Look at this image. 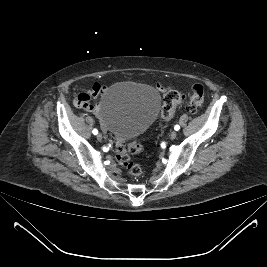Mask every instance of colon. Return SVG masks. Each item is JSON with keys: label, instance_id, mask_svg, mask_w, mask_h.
<instances>
[{"label": "colon", "instance_id": "5ec220e1", "mask_svg": "<svg viewBox=\"0 0 267 267\" xmlns=\"http://www.w3.org/2000/svg\"><path fill=\"white\" fill-rule=\"evenodd\" d=\"M187 98L188 110L197 112L204 102V87L201 84L193 85L187 93V96L176 90H169L165 93L162 105V117L164 120H171L176 108ZM112 148L116 155L118 164L132 176L142 175V169L131 161L132 155H138L142 152V145L137 138L131 139L128 143L115 139L112 141Z\"/></svg>", "mask_w": 267, "mask_h": 267}]
</instances>
